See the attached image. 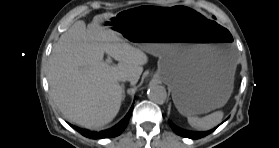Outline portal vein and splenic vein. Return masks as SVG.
Masks as SVG:
<instances>
[{"label":"portal vein and splenic vein","instance_id":"portal-vein-and-splenic-vein-1","mask_svg":"<svg viewBox=\"0 0 279 148\" xmlns=\"http://www.w3.org/2000/svg\"><path fill=\"white\" fill-rule=\"evenodd\" d=\"M112 62V60H111V58L110 57H108L107 59H106V64H110Z\"/></svg>","mask_w":279,"mask_h":148}]
</instances>
